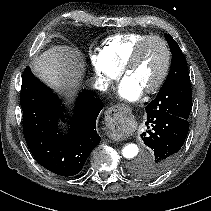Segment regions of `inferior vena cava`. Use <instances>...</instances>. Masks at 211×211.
Returning a JSON list of instances; mask_svg holds the SVG:
<instances>
[{
  "mask_svg": "<svg viewBox=\"0 0 211 211\" xmlns=\"http://www.w3.org/2000/svg\"><path fill=\"white\" fill-rule=\"evenodd\" d=\"M94 86L97 88V89H102V88H107L108 87V83H106V82H104V83H98V82H96L95 84H94Z\"/></svg>",
  "mask_w": 211,
  "mask_h": 211,
  "instance_id": "obj_1",
  "label": "inferior vena cava"
}]
</instances>
